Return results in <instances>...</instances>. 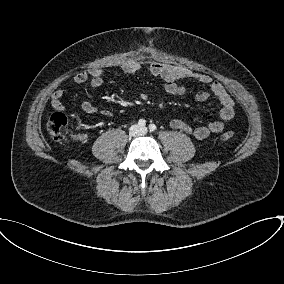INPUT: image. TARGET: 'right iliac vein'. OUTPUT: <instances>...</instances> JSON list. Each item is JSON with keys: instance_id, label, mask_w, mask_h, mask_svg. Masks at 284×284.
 <instances>
[{"instance_id": "obj_1", "label": "right iliac vein", "mask_w": 284, "mask_h": 284, "mask_svg": "<svg viewBox=\"0 0 284 284\" xmlns=\"http://www.w3.org/2000/svg\"><path fill=\"white\" fill-rule=\"evenodd\" d=\"M133 131L135 132V131H138V127L137 126H134L133 127Z\"/></svg>"}]
</instances>
